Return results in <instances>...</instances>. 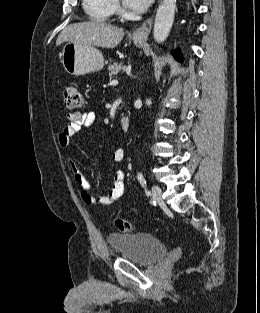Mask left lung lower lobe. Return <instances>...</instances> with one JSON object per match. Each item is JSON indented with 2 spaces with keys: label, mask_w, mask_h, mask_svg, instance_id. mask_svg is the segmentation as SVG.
I'll return each mask as SVG.
<instances>
[{
  "label": "left lung lower lobe",
  "mask_w": 260,
  "mask_h": 313,
  "mask_svg": "<svg viewBox=\"0 0 260 313\" xmlns=\"http://www.w3.org/2000/svg\"><path fill=\"white\" fill-rule=\"evenodd\" d=\"M173 55H174V57H175L178 61H181V56H180V54L178 53V51H177V52H173Z\"/></svg>",
  "instance_id": "obj_1"
}]
</instances>
